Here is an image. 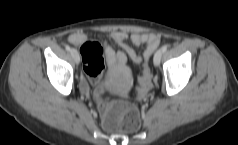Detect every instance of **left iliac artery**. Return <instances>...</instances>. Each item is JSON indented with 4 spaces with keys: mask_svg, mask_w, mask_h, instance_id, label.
<instances>
[{
    "mask_svg": "<svg viewBox=\"0 0 238 145\" xmlns=\"http://www.w3.org/2000/svg\"><path fill=\"white\" fill-rule=\"evenodd\" d=\"M167 48H168V46L164 45V46H162V48L160 50L162 51V53H164L167 51Z\"/></svg>",
    "mask_w": 238,
    "mask_h": 145,
    "instance_id": "obj_1",
    "label": "left iliac artery"
}]
</instances>
